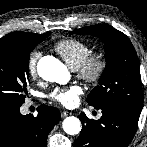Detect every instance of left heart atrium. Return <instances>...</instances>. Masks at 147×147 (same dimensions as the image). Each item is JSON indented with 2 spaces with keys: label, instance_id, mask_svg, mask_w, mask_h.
Here are the masks:
<instances>
[{
  "label": "left heart atrium",
  "instance_id": "1",
  "mask_svg": "<svg viewBox=\"0 0 147 147\" xmlns=\"http://www.w3.org/2000/svg\"><path fill=\"white\" fill-rule=\"evenodd\" d=\"M82 93L83 89L80 85H71L54 89L49 97L63 106L72 107L77 104Z\"/></svg>",
  "mask_w": 147,
  "mask_h": 147
}]
</instances>
